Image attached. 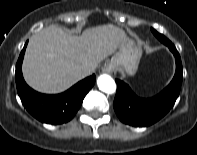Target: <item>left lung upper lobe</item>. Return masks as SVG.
Returning a JSON list of instances; mask_svg holds the SVG:
<instances>
[{"mask_svg":"<svg viewBox=\"0 0 197 155\" xmlns=\"http://www.w3.org/2000/svg\"><path fill=\"white\" fill-rule=\"evenodd\" d=\"M153 34L165 45H167L168 43H170V41L163 36L162 34L158 33L156 30H154L153 28L151 29Z\"/></svg>","mask_w":197,"mask_h":155,"instance_id":"left-lung-upper-lobe-1","label":"left lung upper lobe"}]
</instances>
